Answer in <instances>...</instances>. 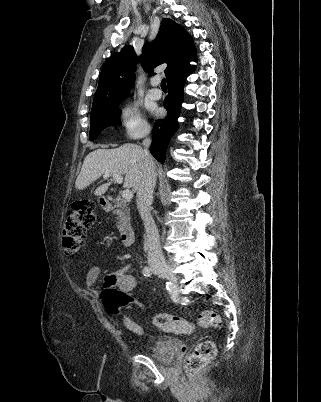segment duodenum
Listing matches in <instances>:
<instances>
[{"label":"duodenum","instance_id":"410a0bca","mask_svg":"<svg viewBox=\"0 0 321 402\" xmlns=\"http://www.w3.org/2000/svg\"><path fill=\"white\" fill-rule=\"evenodd\" d=\"M100 205L104 208V210H112L114 208L113 202L108 198L100 197L99 199ZM119 236L122 243L126 246L132 245L135 238V231L132 226L126 223H121L118 225Z\"/></svg>","mask_w":321,"mask_h":402}]
</instances>
